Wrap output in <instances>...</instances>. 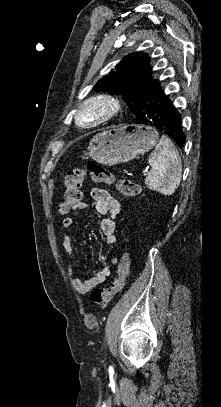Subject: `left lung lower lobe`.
<instances>
[{
    "instance_id": "0a47b994",
    "label": "left lung lower lobe",
    "mask_w": 221,
    "mask_h": 407,
    "mask_svg": "<svg viewBox=\"0 0 221 407\" xmlns=\"http://www.w3.org/2000/svg\"><path fill=\"white\" fill-rule=\"evenodd\" d=\"M135 118L137 124L155 127L172 138L179 147L183 146L185 135L181 115L158 80L142 92Z\"/></svg>"
}]
</instances>
